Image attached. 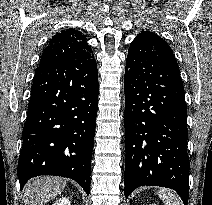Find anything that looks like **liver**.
Instances as JSON below:
<instances>
[{"label":"liver","mask_w":212,"mask_h":205,"mask_svg":"<svg viewBox=\"0 0 212 205\" xmlns=\"http://www.w3.org/2000/svg\"><path fill=\"white\" fill-rule=\"evenodd\" d=\"M65 186L63 178L43 176L32 179L24 187L25 205H45L61 194Z\"/></svg>","instance_id":"6515ba94"}]
</instances>
